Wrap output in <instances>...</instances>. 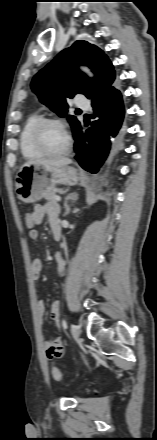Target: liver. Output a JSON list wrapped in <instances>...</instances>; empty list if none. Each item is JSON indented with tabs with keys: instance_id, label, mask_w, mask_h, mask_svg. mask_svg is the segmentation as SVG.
Masks as SVG:
<instances>
[{
	"instance_id": "liver-1",
	"label": "liver",
	"mask_w": 157,
	"mask_h": 440,
	"mask_svg": "<svg viewBox=\"0 0 157 440\" xmlns=\"http://www.w3.org/2000/svg\"><path fill=\"white\" fill-rule=\"evenodd\" d=\"M70 163H72L71 159L63 157V158L38 159V160L28 161L23 166L37 164V165H43L47 169H51V168L66 166Z\"/></svg>"
}]
</instances>
